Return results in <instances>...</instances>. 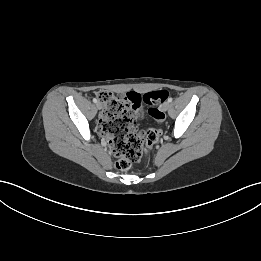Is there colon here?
<instances>
[{
  "instance_id": "colon-1",
  "label": "colon",
  "mask_w": 261,
  "mask_h": 261,
  "mask_svg": "<svg viewBox=\"0 0 261 261\" xmlns=\"http://www.w3.org/2000/svg\"><path fill=\"white\" fill-rule=\"evenodd\" d=\"M168 94L167 90H158L143 96L130 93L122 98L106 90L97 93L104 107L99 131L103 135L111 137V149L117 157L116 169L125 171L142 159L149 163L150 148L159 140L161 133L159 130L151 128L147 129L148 134L142 137L133 127V111L141 102L155 105L164 101ZM149 115L158 123H164L167 120V115L156 107L149 109Z\"/></svg>"
}]
</instances>
